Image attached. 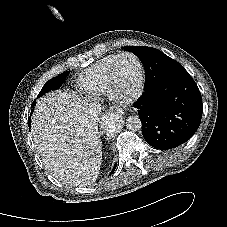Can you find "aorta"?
<instances>
[{
	"label": "aorta",
	"instance_id": "obj_1",
	"mask_svg": "<svg viewBox=\"0 0 227 227\" xmlns=\"http://www.w3.org/2000/svg\"><path fill=\"white\" fill-rule=\"evenodd\" d=\"M121 127V118L118 114H110L104 121V128L108 133H116ZM128 130L137 131L142 127L141 120L138 116H129L126 119Z\"/></svg>",
	"mask_w": 227,
	"mask_h": 227
}]
</instances>
